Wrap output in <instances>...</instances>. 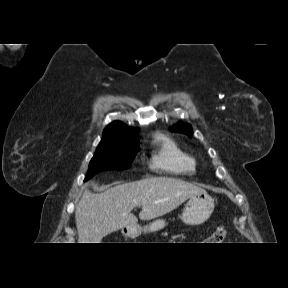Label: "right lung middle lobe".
I'll list each match as a JSON object with an SVG mask.
<instances>
[{"mask_svg": "<svg viewBox=\"0 0 288 288\" xmlns=\"http://www.w3.org/2000/svg\"><path fill=\"white\" fill-rule=\"evenodd\" d=\"M138 150L137 141H129L123 138L101 141L90 161L85 180L100 171L129 168Z\"/></svg>", "mask_w": 288, "mask_h": 288, "instance_id": "obj_1", "label": "right lung middle lobe"}]
</instances>
